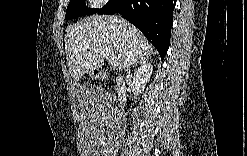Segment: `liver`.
<instances>
[{"label": "liver", "mask_w": 247, "mask_h": 156, "mask_svg": "<svg viewBox=\"0 0 247 156\" xmlns=\"http://www.w3.org/2000/svg\"><path fill=\"white\" fill-rule=\"evenodd\" d=\"M64 40L69 72L75 81L99 69L105 59H114L123 69L130 53L131 63L153 54V46L136 27L109 15H95L68 27Z\"/></svg>", "instance_id": "liver-1"}]
</instances>
